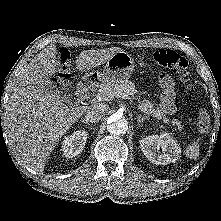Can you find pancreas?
Wrapping results in <instances>:
<instances>
[{"label": "pancreas", "instance_id": "obj_1", "mask_svg": "<svg viewBox=\"0 0 221 221\" xmlns=\"http://www.w3.org/2000/svg\"><path fill=\"white\" fill-rule=\"evenodd\" d=\"M118 92L134 96L137 91L135 84L127 80L122 83H107L102 85L101 92H99L97 96H100L101 100L108 101L116 97ZM138 109L147 112L148 115H151L154 118L163 119L164 123L169 122V119L166 117V115L159 108H155V105L146 99L138 101ZM171 124L172 126H175V130L183 129V125L177 119L171 120Z\"/></svg>", "mask_w": 221, "mask_h": 221}]
</instances>
